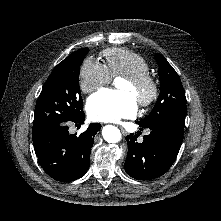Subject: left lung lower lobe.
Listing matches in <instances>:
<instances>
[{
  "instance_id": "left-lung-lower-lobe-1",
  "label": "left lung lower lobe",
  "mask_w": 221,
  "mask_h": 221,
  "mask_svg": "<svg viewBox=\"0 0 221 221\" xmlns=\"http://www.w3.org/2000/svg\"><path fill=\"white\" fill-rule=\"evenodd\" d=\"M140 130L149 128L142 143L137 135L126 137L128 154L124 164L127 174L135 179L149 180L166 173L175 161L182 144L185 117L172 116L156 121L147 127L136 122Z\"/></svg>"
}]
</instances>
